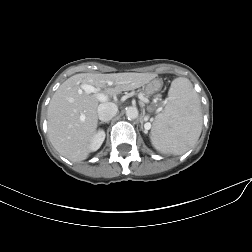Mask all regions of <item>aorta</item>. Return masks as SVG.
Here are the masks:
<instances>
[{"instance_id":"1","label":"aorta","mask_w":252,"mask_h":252,"mask_svg":"<svg viewBox=\"0 0 252 252\" xmlns=\"http://www.w3.org/2000/svg\"><path fill=\"white\" fill-rule=\"evenodd\" d=\"M126 116L129 120H134L138 117V110L136 107L126 108Z\"/></svg>"}]
</instances>
